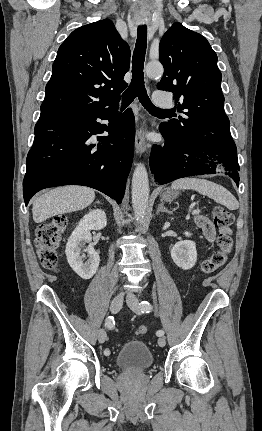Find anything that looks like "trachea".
Instances as JSON below:
<instances>
[{"label": "trachea", "instance_id": "trachea-1", "mask_svg": "<svg viewBox=\"0 0 262 431\" xmlns=\"http://www.w3.org/2000/svg\"><path fill=\"white\" fill-rule=\"evenodd\" d=\"M147 48V27L139 26L137 30V40L132 57V81L127 90L122 95V109L126 108L135 98L138 97L144 108L153 114H171L170 110H163L153 105L147 95L144 85V60Z\"/></svg>", "mask_w": 262, "mask_h": 431}]
</instances>
